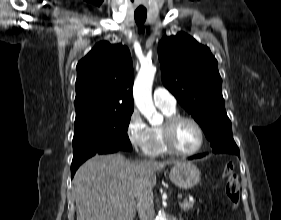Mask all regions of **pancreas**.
<instances>
[{
	"mask_svg": "<svg viewBox=\"0 0 281 220\" xmlns=\"http://www.w3.org/2000/svg\"><path fill=\"white\" fill-rule=\"evenodd\" d=\"M194 202L188 200L187 198L183 200V202L180 203L181 209L183 211H190L193 207Z\"/></svg>",
	"mask_w": 281,
	"mask_h": 220,
	"instance_id": "1",
	"label": "pancreas"
}]
</instances>
